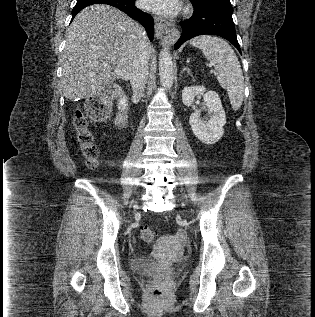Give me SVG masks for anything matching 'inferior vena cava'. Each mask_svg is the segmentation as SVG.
<instances>
[{
  "label": "inferior vena cava",
  "instance_id": "1",
  "mask_svg": "<svg viewBox=\"0 0 315 317\" xmlns=\"http://www.w3.org/2000/svg\"><path fill=\"white\" fill-rule=\"evenodd\" d=\"M148 46H149V41H148V37L145 34L138 45L137 55L133 61V69L130 76L131 87L133 90V94L136 97H141L148 80V74H149Z\"/></svg>",
  "mask_w": 315,
  "mask_h": 317
}]
</instances>
